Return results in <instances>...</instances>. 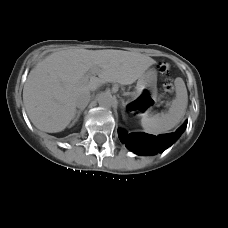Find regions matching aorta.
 Instances as JSON below:
<instances>
[{"label":"aorta","mask_w":228,"mask_h":228,"mask_svg":"<svg viewBox=\"0 0 228 228\" xmlns=\"http://www.w3.org/2000/svg\"><path fill=\"white\" fill-rule=\"evenodd\" d=\"M97 101L103 108H111L115 103L112 95L107 92L100 93L97 97Z\"/></svg>","instance_id":"762f6f07"}]
</instances>
